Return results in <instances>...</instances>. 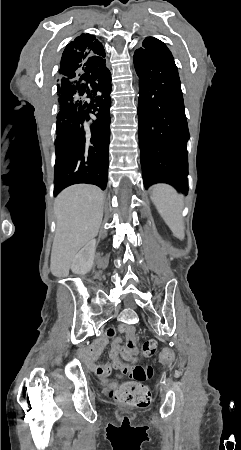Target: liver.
Wrapping results in <instances>:
<instances>
[{
  "label": "liver",
  "instance_id": "1",
  "mask_svg": "<svg viewBox=\"0 0 241 450\" xmlns=\"http://www.w3.org/2000/svg\"><path fill=\"white\" fill-rule=\"evenodd\" d=\"M103 200L102 190L88 184H76L58 194L50 266L53 276H68L77 252L96 238L102 224Z\"/></svg>",
  "mask_w": 241,
  "mask_h": 450
}]
</instances>
